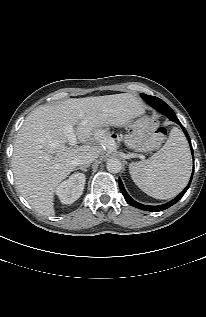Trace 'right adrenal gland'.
Here are the masks:
<instances>
[{
	"mask_svg": "<svg viewBox=\"0 0 206 317\" xmlns=\"http://www.w3.org/2000/svg\"><path fill=\"white\" fill-rule=\"evenodd\" d=\"M88 167H89V165L80 166V167L76 168V170H77V169H80L81 171L87 172V168H88Z\"/></svg>",
	"mask_w": 206,
	"mask_h": 317,
	"instance_id": "obj_1",
	"label": "right adrenal gland"
}]
</instances>
